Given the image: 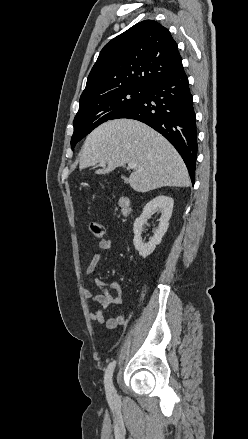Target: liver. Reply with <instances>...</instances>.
I'll return each mask as SVG.
<instances>
[{
  "mask_svg": "<svg viewBox=\"0 0 248 439\" xmlns=\"http://www.w3.org/2000/svg\"><path fill=\"white\" fill-rule=\"evenodd\" d=\"M101 162L107 163V167L97 170V174H107L126 163H135L137 169L128 182L137 192L190 185L187 168L175 148L158 132L136 120H110L87 136L79 168Z\"/></svg>",
  "mask_w": 248,
  "mask_h": 439,
  "instance_id": "obj_1",
  "label": "liver"
}]
</instances>
